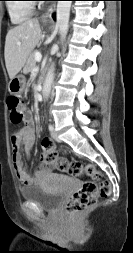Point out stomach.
Instances as JSON below:
<instances>
[{"mask_svg": "<svg viewBox=\"0 0 133 253\" xmlns=\"http://www.w3.org/2000/svg\"><path fill=\"white\" fill-rule=\"evenodd\" d=\"M25 85H26L25 77L23 75H18L10 80L8 88L12 94L18 95L23 93Z\"/></svg>", "mask_w": 133, "mask_h": 253, "instance_id": "obj_1", "label": "stomach"}]
</instances>
